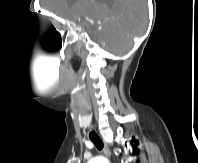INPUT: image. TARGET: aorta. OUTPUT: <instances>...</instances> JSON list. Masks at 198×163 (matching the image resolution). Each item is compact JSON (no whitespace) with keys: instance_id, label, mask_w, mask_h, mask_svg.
Here are the masks:
<instances>
[{"instance_id":"obj_1","label":"aorta","mask_w":198,"mask_h":163,"mask_svg":"<svg viewBox=\"0 0 198 163\" xmlns=\"http://www.w3.org/2000/svg\"><path fill=\"white\" fill-rule=\"evenodd\" d=\"M88 163H109V161L102 156H97L89 160Z\"/></svg>"}]
</instances>
